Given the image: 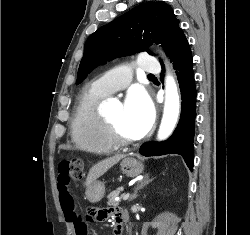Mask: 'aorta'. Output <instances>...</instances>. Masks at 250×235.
Listing matches in <instances>:
<instances>
[{
    "label": "aorta",
    "instance_id": "obj_1",
    "mask_svg": "<svg viewBox=\"0 0 250 235\" xmlns=\"http://www.w3.org/2000/svg\"><path fill=\"white\" fill-rule=\"evenodd\" d=\"M179 109L180 102L175 80L172 76L167 75L165 86V106L158 131V140H164L172 133L178 120Z\"/></svg>",
    "mask_w": 250,
    "mask_h": 235
}]
</instances>
